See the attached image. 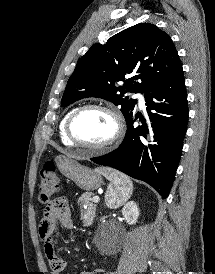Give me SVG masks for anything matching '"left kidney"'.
I'll return each instance as SVG.
<instances>
[{
  "label": "left kidney",
  "mask_w": 215,
  "mask_h": 274,
  "mask_svg": "<svg viewBox=\"0 0 215 274\" xmlns=\"http://www.w3.org/2000/svg\"><path fill=\"white\" fill-rule=\"evenodd\" d=\"M122 215L129 225L136 224L139 217V209L134 201L127 203L122 209Z\"/></svg>",
  "instance_id": "1"
}]
</instances>
